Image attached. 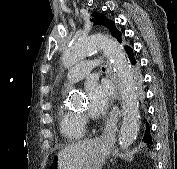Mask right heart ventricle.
Returning a JSON list of instances; mask_svg holds the SVG:
<instances>
[{"label":"right heart ventricle","instance_id":"obj_1","mask_svg":"<svg viewBox=\"0 0 177 169\" xmlns=\"http://www.w3.org/2000/svg\"><path fill=\"white\" fill-rule=\"evenodd\" d=\"M59 126L62 135L68 140H80L86 135V127L82 117L60 106L58 110Z\"/></svg>","mask_w":177,"mask_h":169}]
</instances>
